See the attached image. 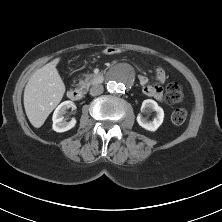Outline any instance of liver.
Segmentation results:
<instances>
[{"instance_id": "6515ba94", "label": "liver", "mask_w": 222, "mask_h": 222, "mask_svg": "<svg viewBox=\"0 0 222 222\" xmlns=\"http://www.w3.org/2000/svg\"><path fill=\"white\" fill-rule=\"evenodd\" d=\"M59 61L60 58H55L35 71L25 86V112L36 128L44 124L65 93V85L56 69Z\"/></svg>"}]
</instances>
